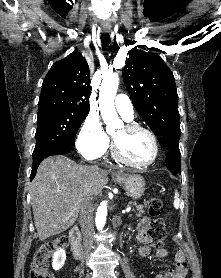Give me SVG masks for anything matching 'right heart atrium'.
<instances>
[{"label": "right heart atrium", "mask_w": 221, "mask_h": 278, "mask_svg": "<svg viewBox=\"0 0 221 278\" xmlns=\"http://www.w3.org/2000/svg\"><path fill=\"white\" fill-rule=\"evenodd\" d=\"M76 147L84 158L90 160L98 159L106 153L109 138L95 115H88L82 123L77 135Z\"/></svg>", "instance_id": "1"}]
</instances>
